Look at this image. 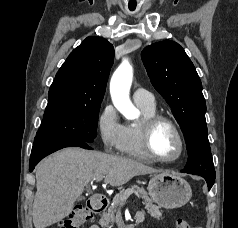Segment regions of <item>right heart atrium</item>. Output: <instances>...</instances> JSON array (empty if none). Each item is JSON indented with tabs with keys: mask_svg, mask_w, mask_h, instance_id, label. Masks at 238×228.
<instances>
[{
	"mask_svg": "<svg viewBox=\"0 0 238 228\" xmlns=\"http://www.w3.org/2000/svg\"><path fill=\"white\" fill-rule=\"evenodd\" d=\"M97 129L103 148L108 152L118 151L124 125L112 104H106L102 108L97 119Z\"/></svg>",
	"mask_w": 238,
	"mask_h": 228,
	"instance_id": "1",
	"label": "right heart atrium"
}]
</instances>
